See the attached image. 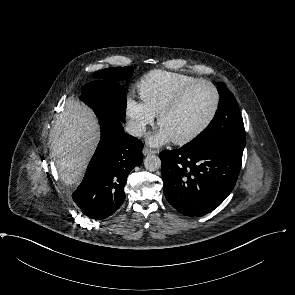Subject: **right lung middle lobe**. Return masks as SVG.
<instances>
[{
  "mask_svg": "<svg viewBox=\"0 0 295 295\" xmlns=\"http://www.w3.org/2000/svg\"><path fill=\"white\" fill-rule=\"evenodd\" d=\"M133 74L131 66L107 68L93 74L96 79L82 89L80 99L93 109L99 120L113 122L125 118V90L117 81L125 80Z\"/></svg>",
  "mask_w": 295,
  "mask_h": 295,
  "instance_id": "1",
  "label": "right lung middle lobe"
}]
</instances>
